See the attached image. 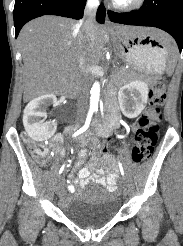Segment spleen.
Wrapping results in <instances>:
<instances>
[{"instance_id":"1","label":"spleen","mask_w":183,"mask_h":246,"mask_svg":"<svg viewBox=\"0 0 183 246\" xmlns=\"http://www.w3.org/2000/svg\"><path fill=\"white\" fill-rule=\"evenodd\" d=\"M176 60H177V57H176V55L173 53L172 55H171V61H170V66H169V68H168V70H167V73L170 75L171 73H172V71H173V67H174V65H175V63H176Z\"/></svg>"}]
</instances>
